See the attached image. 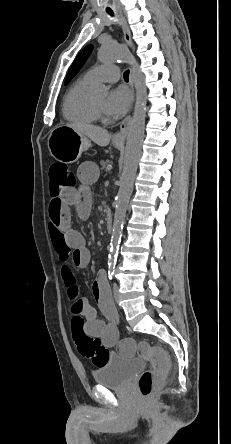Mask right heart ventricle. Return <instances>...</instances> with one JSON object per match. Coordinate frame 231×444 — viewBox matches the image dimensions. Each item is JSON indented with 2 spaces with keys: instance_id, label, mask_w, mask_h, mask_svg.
I'll list each match as a JSON object with an SVG mask.
<instances>
[{
  "instance_id": "obj_1",
  "label": "right heart ventricle",
  "mask_w": 231,
  "mask_h": 444,
  "mask_svg": "<svg viewBox=\"0 0 231 444\" xmlns=\"http://www.w3.org/2000/svg\"><path fill=\"white\" fill-rule=\"evenodd\" d=\"M92 84L83 77L69 89L63 102V115L66 120L81 124H90L97 120L93 103L87 97V91Z\"/></svg>"
}]
</instances>
